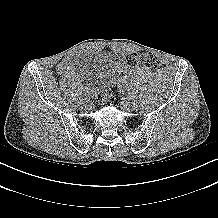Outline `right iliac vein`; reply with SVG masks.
<instances>
[{
    "label": "right iliac vein",
    "mask_w": 218,
    "mask_h": 218,
    "mask_svg": "<svg viewBox=\"0 0 218 218\" xmlns=\"http://www.w3.org/2000/svg\"><path fill=\"white\" fill-rule=\"evenodd\" d=\"M82 98H83L82 109L87 110L89 108V104L87 103V99H86L87 97L84 95Z\"/></svg>",
    "instance_id": "63e3f726"
}]
</instances>
